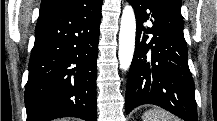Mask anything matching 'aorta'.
I'll list each match as a JSON object with an SVG mask.
<instances>
[{"label":"aorta","instance_id":"762f6f07","mask_svg":"<svg viewBox=\"0 0 217 121\" xmlns=\"http://www.w3.org/2000/svg\"><path fill=\"white\" fill-rule=\"evenodd\" d=\"M136 20L134 10L127 4L122 13L119 32L118 58L120 69L127 71L131 65L135 48Z\"/></svg>","mask_w":217,"mask_h":121}]
</instances>
